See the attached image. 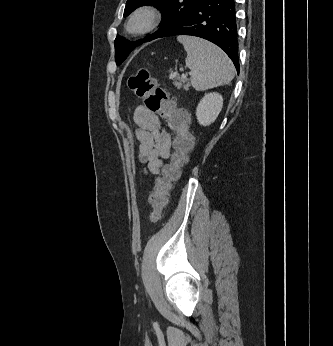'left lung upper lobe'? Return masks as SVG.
I'll return each instance as SVG.
<instances>
[{
  "label": "left lung upper lobe",
  "mask_w": 333,
  "mask_h": 346,
  "mask_svg": "<svg viewBox=\"0 0 333 346\" xmlns=\"http://www.w3.org/2000/svg\"><path fill=\"white\" fill-rule=\"evenodd\" d=\"M198 0H128L124 10V17L128 16L134 9L144 4L155 5L162 11V26L152 35L145 38V41H151L160 37L166 30L182 20L189 10L197 3ZM139 43H131L124 38L117 36L115 39V60L120 65Z\"/></svg>",
  "instance_id": "obj_1"
}]
</instances>
